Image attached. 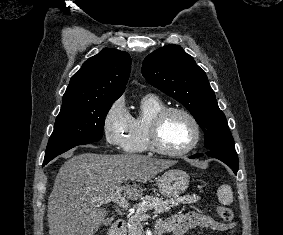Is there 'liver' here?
Instances as JSON below:
<instances>
[{
  "mask_svg": "<svg viewBox=\"0 0 283 235\" xmlns=\"http://www.w3.org/2000/svg\"><path fill=\"white\" fill-rule=\"evenodd\" d=\"M176 163L138 154L88 152L72 156L60 168L49 197V234L95 235L108 214L99 198L121 188L127 199L137 200L142 196L140 183ZM129 180L132 185L127 183Z\"/></svg>",
  "mask_w": 283,
  "mask_h": 235,
  "instance_id": "obj_1",
  "label": "liver"
}]
</instances>
